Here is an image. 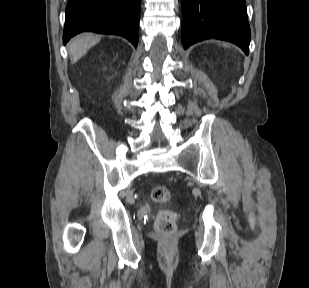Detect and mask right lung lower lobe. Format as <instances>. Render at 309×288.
I'll list each match as a JSON object with an SVG mask.
<instances>
[{
    "label": "right lung lower lobe",
    "mask_w": 309,
    "mask_h": 288,
    "mask_svg": "<svg viewBox=\"0 0 309 288\" xmlns=\"http://www.w3.org/2000/svg\"><path fill=\"white\" fill-rule=\"evenodd\" d=\"M140 0H68L63 43L83 31L116 34L135 47L139 35Z\"/></svg>",
    "instance_id": "right-lung-lower-lobe-1"
}]
</instances>
